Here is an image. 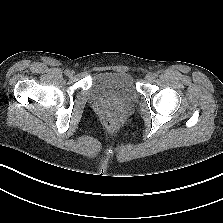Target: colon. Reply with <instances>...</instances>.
Wrapping results in <instances>:
<instances>
[{
  "mask_svg": "<svg viewBox=\"0 0 223 223\" xmlns=\"http://www.w3.org/2000/svg\"><path fill=\"white\" fill-rule=\"evenodd\" d=\"M104 124L106 126V128L108 129H114L116 126V119L113 115L111 114H106L105 118H104Z\"/></svg>",
  "mask_w": 223,
  "mask_h": 223,
  "instance_id": "obj_1",
  "label": "colon"
}]
</instances>
